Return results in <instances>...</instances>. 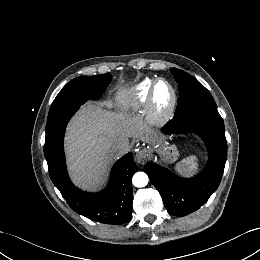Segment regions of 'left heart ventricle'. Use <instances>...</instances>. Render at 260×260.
Instances as JSON below:
<instances>
[{
  "mask_svg": "<svg viewBox=\"0 0 260 260\" xmlns=\"http://www.w3.org/2000/svg\"><path fill=\"white\" fill-rule=\"evenodd\" d=\"M172 99V94L170 89L164 84L159 83L156 91V105L161 111L168 109Z\"/></svg>",
  "mask_w": 260,
  "mask_h": 260,
  "instance_id": "b2bd125f",
  "label": "left heart ventricle"
}]
</instances>
